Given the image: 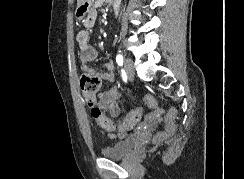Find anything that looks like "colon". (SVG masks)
<instances>
[{"label": "colon", "mask_w": 244, "mask_h": 179, "mask_svg": "<svg viewBox=\"0 0 244 179\" xmlns=\"http://www.w3.org/2000/svg\"><path fill=\"white\" fill-rule=\"evenodd\" d=\"M80 90L87 102L93 119L105 131H113L118 127V123L106 117L98 106H93L92 102L96 101L97 93L101 87V80L98 76L93 74H82L79 79ZM144 102L147 109H158L157 101L152 95H145ZM129 115L125 117L120 123L122 130H130L136 120H141V110L139 108H129ZM180 114V107H171V110L166 112L165 116V130L164 138H173V133H178V126L174 125L177 115Z\"/></svg>", "instance_id": "colon-1"}]
</instances>
